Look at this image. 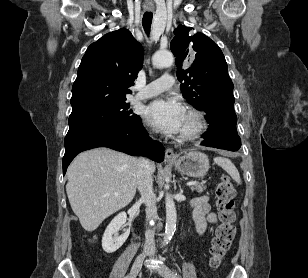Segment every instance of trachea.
<instances>
[{
  "instance_id": "3493384b",
  "label": "trachea",
  "mask_w": 308,
  "mask_h": 278,
  "mask_svg": "<svg viewBox=\"0 0 308 278\" xmlns=\"http://www.w3.org/2000/svg\"><path fill=\"white\" fill-rule=\"evenodd\" d=\"M153 14L151 12H146L143 15L142 24L146 34L150 33L151 23H152Z\"/></svg>"
}]
</instances>
